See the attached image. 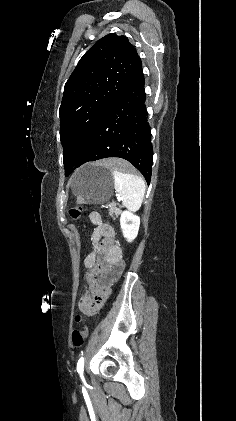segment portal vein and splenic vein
<instances>
[{
    "label": "portal vein and splenic vein",
    "mask_w": 236,
    "mask_h": 421,
    "mask_svg": "<svg viewBox=\"0 0 236 421\" xmlns=\"http://www.w3.org/2000/svg\"><path fill=\"white\" fill-rule=\"evenodd\" d=\"M115 197H116V198H119V197H120V194H119V193H116V194H115Z\"/></svg>",
    "instance_id": "1"
}]
</instances>
